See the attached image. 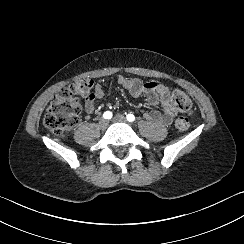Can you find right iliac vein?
Listing matches in <instances>:
<instances>
[{
	"mask_svg": "<svg viewBox=\"0 0 244 244\" xmlns=\"http://www.w3.org/2000/svg\"><path fill=\"white\" fill-rule=\"evenodd\" d=\"M98 125L102 130H104L108 127V121L105 119H101Z\"/></svg>",
	"mask_w": 244,
	"mask_h": 244,
	"instance_id": "1",
	"label": "right iliac vein"
}]
</instances>
